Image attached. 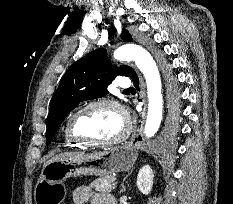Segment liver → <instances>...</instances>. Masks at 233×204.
I'll use <instances>...</instances> for the list:
<instances>
[{
    "label": "liver",
    "mask_w": 233,
    "mask_h": 204,
    "mask_svg": "<svg viewBox=\"0 0 233 204\" xmlns=\"http://www.w3.org/2000/svg\"><path fill=\"white\" fill-rule=\"evenodd\" d=\"M76 154H79V153H76V152H65V153H61L59 155H56L55 157H53L52 159H50L49 161H47L44 165L52 162V161H55V160H58V159H61V158H65V157H69V156H72V155H76Z\"/></svg>",
    "instance_id": "1"
}]
</instances>
